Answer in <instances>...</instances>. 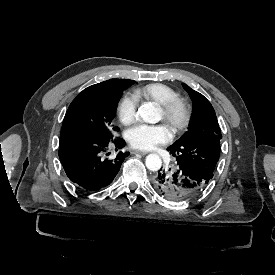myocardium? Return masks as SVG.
<instances>
[{
  "label": "myocardium",
  "instance_id": "myocardium-1",
  "mask_svg": "<svg viewBox=\"0 0 275 275\" xmlns=\"http://www.w3.org/2000/svg\"><path fill=\"white\" fill-rule=\"evenodd\" d=\"M160 108L164 119H172L177 116L173 126L175 134L187 129L192 118V108L186 99L176 96L166 102L160 103Z\"/></svg>",
  "mask_w": 275,
  "mask_h": 275
}]
</instances>
